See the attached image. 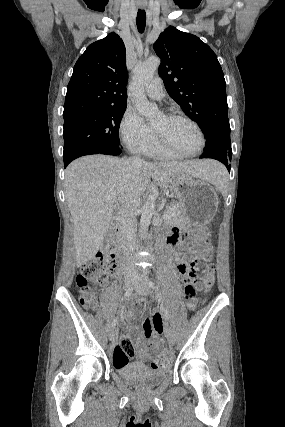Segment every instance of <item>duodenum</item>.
Returning a JSON list of instances; mask_svg holds the SVG:
<instances>
[{
  "label": "duodenum",
  "mask_w": 285,
  "mask_h": 427,
  "mask_svg": "<svg viewBox=\"0 0 285 427\" xmlns=\"http://www.w3.org/2000/svg\"><path fill=\"white\" fill-rule=\"evenodd\" d=\"M125 225V220L121 217L115 219L112 223L113 238L108 251V255L115 261L120 258L122 252L121 232L124 230ZM161 249L163 252L171 251V248L167 243L163 244Z\"/></svg>",
  "instance_id": "duodenum-1"
}]
</instances>
